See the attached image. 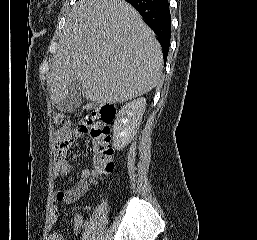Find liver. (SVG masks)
I'll use <instances>...</instances> for the list:
<instances>
[{
  "label": "liver",
  "mask_w": 257,
  "mask_h": 240,
  "mask_svg": "<svg viewBox=\"0 0 257 240\" xmlns=\"http://www.w3.org/2000/svg\"><path fill=\"white\" fill-rule=\"evenodd\" d=\"M162 50L153 31L124 0H79L68 13L47 85L53 104L79 80L85 99L118 103L152 90Z\"/></svg>",
  "instance_id": "liver-1"
}]
</instances>
